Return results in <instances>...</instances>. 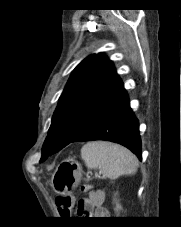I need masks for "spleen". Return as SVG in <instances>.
<instances>
[{
	"mask_svg": "<svg viewBox=\"0 0 181 227\" xmlns=\"http://www.w3.org/2000/svg\"><path fill=\"white\" fill-rule=\"evenodd\" d=\"M81 158L87 168L98 169L104 177L112 180L133 175L138 167V160L132 152L111 142L86 143L81 149Z\"/></svg>",
	"mask_w": 181,
	"mask_h": 227,
	"instance_id": "3e777b00",
	"label": "spleen"
}]
</instances>
